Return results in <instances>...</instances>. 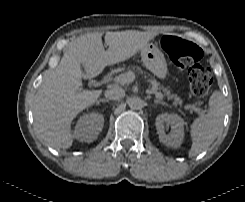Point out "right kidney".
I'll list each match as a JSON object with an SVG mask.
<instances>
[{"mask_svg":"<svg viewBox=\"0 0 245 202\" xmlns=\"http://www.w3.org/2000/svg\"><path fill=\"white\" fill-rule=\"evenodd\" d=\"M104 125V117L100 113L83 115L77 121L73 133L74 138L81 142H92L97 139Z\"/></svg>","mask_w":245,"mask_h":202,"instance_id":"obj_1","label":"right kidney"}]
</instances>
